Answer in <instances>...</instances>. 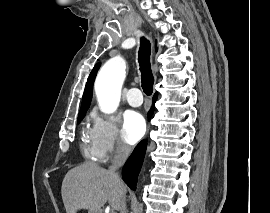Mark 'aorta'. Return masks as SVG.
Wrapping results in <instances>:
<instances>
[{"mask_svg":"<svg viewBox=\"0 0 270 213\" xmlns=\"http://www.w3.org/2000/svg\"><path fill=\"white\" fill-rule=\"evenodd\" d=\"M125 76L126 62L119 56L108 60L99 71L95 92L102 112L112 114L118 108Z\"/></svg>","mask_w":270,"mask_h":213,"instance_id":"obj_1","label":"aorta"}]
</instances>
